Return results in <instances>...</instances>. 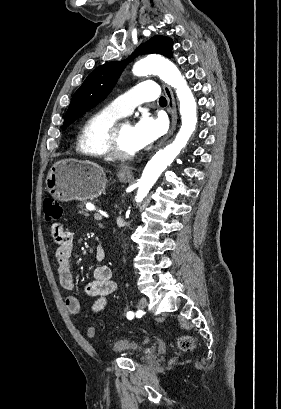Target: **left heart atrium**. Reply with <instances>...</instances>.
<instances>
[{
	"label": "left heart atrium",
	"instance_id": "1",
	"mask_svg": "<svg viewBox=\"0 0 281 409\" xmlns=\"http://www.w3.org/2000/svg\"><path fill=\"white\" fill-rule=\"evenodd\" d=\"M134 140L138 149L145 148L157 140L165 131L162 119L143 116L134 126Z\"/></svg>",
	"mask_w": 281,
	"mask_h": 409
}]
</instances>
